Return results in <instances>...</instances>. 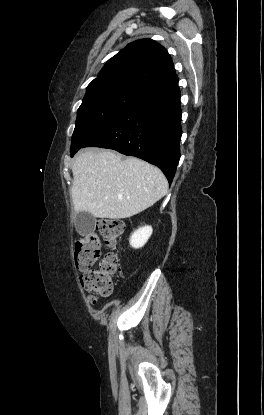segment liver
I'll return each instance as SVG.
<instances>
[{
  "instance_id": "obj_1",
  "label": "liver",
  "mask_w": 264,
  "mask_h": 415,
  "mask_svg": "<svg viewBox=\"0 0 264 415\" xmlns=\"http://www.w3.org/2000/svg\"><path fill=\"white\" fill-rule=\"evenodd\" d=\"M75 211L95 218L122 219L151 207L168 192L162 171L135 157L110 150H82L73 166Z\"/></svg>"
}]
</instances>
